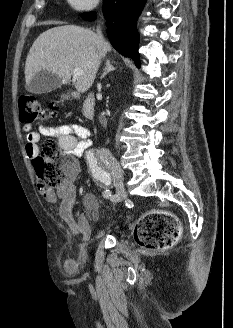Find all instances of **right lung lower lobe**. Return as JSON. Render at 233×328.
<instances>
[{"label": "right lung lower lobe", "instance_id": "1", "mask_svg": "<svg viewBox=\"0 0 233 328\" xmlns=\"http://www.w3.org/2000/svg\"><path fill=\"white\" fill-rule=\"evenodd\" d=\"M146 0H104L103 15L107 20V33L112 46L125 57H130L139 67L137 18ZM93 20V13L83 16Z\"/></svg>", "mask_w": 233, "mask_h": 328}]
</instances>
